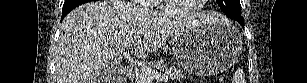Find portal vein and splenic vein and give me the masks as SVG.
<instances>
[{
    "label": "portal vein and splenic vein",
    "mask_w": 307,
    "mask_h": 83,
    "mask_svg": "<svg viewBox=\"0 0 307 83\" xmlns=\"http://www.w3.org/2000/svg\"><path fill=\"white\" fill-rule=\"evenodd\" d=\"M132 46H133V42L127 43V49H130ZM141 72L143 74V79L147 82H151L155 78H159V79L167 78V76L154 72L153 70L145 66L141 67Z\"/></svg>",
    "instance_id": "1"
}]
</instances>
